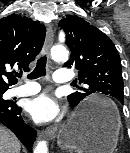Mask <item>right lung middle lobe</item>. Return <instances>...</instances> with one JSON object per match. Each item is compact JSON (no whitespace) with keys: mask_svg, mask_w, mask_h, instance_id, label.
<instances>
[{"mask_svg":"<svg viewBox=\"0 0 130 153\" xmlns=\"http://www.w3.org/2000/svg\"><path fill=\"white\" fill-rule=\"evenodd\" d=\"M4 92L5 91H0V100H4V99H2V95H3Z\"/></svg>","mask_w":130,"mask_h":153,"instance_id":"obj_1","label":"right lung middle lobe"}]
</instances>
